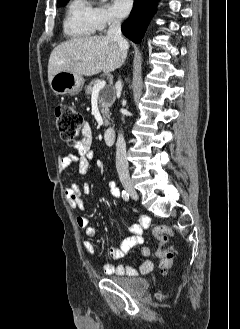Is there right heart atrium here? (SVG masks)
Masks as SVG:
<instances>
[{"instance_id": "obj_1", "label": "right heart atrium", "mask_w": 240, "mask_h": 329, "mask_svg": "<svg viewBox=\"0 0 240 329\" xmlns=\"http://www.w3.org/2000/svg\"><path fill=\"white\" fill-rule=\"evenodd\" d=\"M93 21L96 30L103 32L109 26L117 24L119 18L113 13L108 5L102 4L93 7Z\"/></svg>"}]
</instances>
